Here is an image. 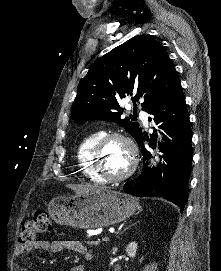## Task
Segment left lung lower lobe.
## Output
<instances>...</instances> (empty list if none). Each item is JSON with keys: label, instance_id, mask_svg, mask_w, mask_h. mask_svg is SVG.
Instances as JSON below:
<instances>
[{"label": "left lung lower lobe", "instance_id": "left-lung-lower-lobe-1", "mask_svg": "<svg viewBox=\"0 0 221 271\" xmlns=\"http://www.w3.org/2000/svg\"><path fill=\"white\" fill-rule=\"evenodd\" d=\"M150 114L155 116L156 124L163 122L159 127L167 133L163 135L165 142L160 144L161 151L164 153L163 162L156 168L144 169L136 179L125 183L124 191L134 196L166 198L179 206L182 212L188 200L192 132L181 84L179 83L168 98ZM156 137V131H154L150 139L152 148H154ZM145 140H148V136L141 131L136 142L142 151L144 167L145 161L151 157L144 147Z\"/></svg>", "mask_w": 221, "mask_h": 271}]
</instances>
